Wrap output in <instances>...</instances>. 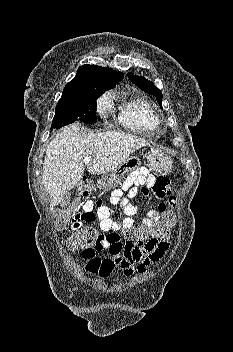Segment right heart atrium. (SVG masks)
Listing matches in <instances>:
<instances>
[{
	"label": "right heart atrium",
	"mask_w": 233,
	"mask_h": 352,
	"mask_svg": "<svg viewBox=\"0 0 233 352\" xmlns=\"http://www.w3.org/2000/svg\"><path fill=\"white\" fill-rule=\"evenodd\" d=\"M112 108V101L108 94L101 96L97 101V111L99 114L104 115Z\"/></svg>",
	"instance_id": "right-heart-atrium-1"
}]
</instances>
